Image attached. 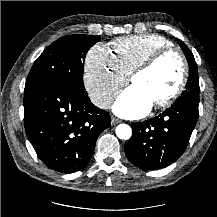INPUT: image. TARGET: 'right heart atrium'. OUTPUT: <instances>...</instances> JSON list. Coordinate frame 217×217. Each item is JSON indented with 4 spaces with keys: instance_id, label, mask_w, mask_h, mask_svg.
I'll return each mask as SVG.
<instances>
[{
    "instance_id": "d8ad5b80",
    "label": "right heart atrium",
    "mask_w": 217,
    "mask_h": 217,
    "mask_svg": "<svg viewBox=\"0 0 217 217\" xmlns=\"http://www.w3.org/2000/svg\"><path fill=\"white\" fill-rule=\"evenodd\" d=\"M127 81L128 75L104 45H94L89 49L85 58L84 85L97 107L107 108Z\"/></svg>"
}]
</instances>
